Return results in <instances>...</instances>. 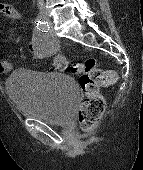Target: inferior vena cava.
Returning a JSON list of instances; mask_svg holds the SVG:
<instances>
[{"label":"inferior vena cava","instance_id":"obj_1","mask_svg":"<svg viewBox=\"0 0 143 170\" xmlns=\"http://www.w3.org/2000/svg\"><path fill=\"white\" fill-rule=\"evenodd\" d=\"M38 7L41 11L44 9V0H38Z\"/></svg>","mask_w":143,"mask_h":170}]
</instances>
